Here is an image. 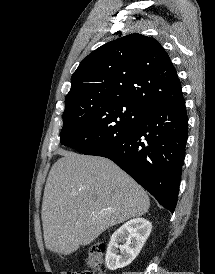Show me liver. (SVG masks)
Masks as SVG:
<instances>
[{"label":"liver","mask_w":215,"mask_h":274,"mask_svg":"<svg viewBox=\"0 0 215 274\" xmlns=\"http://www.w3.org/2000/svg\"><path fill=\"white\" fill-rule=\"evenodd\" d=\"M44 189L46 248L69 255L109 227L144 215L147 193L112 161L61 150Z\"/></svg>","instance_id":"obj_1"}]
</instances>
